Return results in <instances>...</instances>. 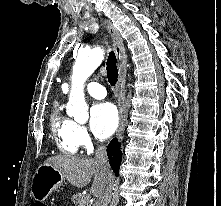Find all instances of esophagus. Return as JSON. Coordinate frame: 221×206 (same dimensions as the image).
I'll use <instances>...</instances> for the list:
<instances>
[{
	"instance_id": "34e87169",
	"label": "esophagus",
	"mask_w": 221,
	"mask_h": 206,
	"mask_svg": "<svg viewBox=\"0 0 221 206\" xmlns=\"http://www.w3.org/2000/svg\"><path fill=\"white\" fill-rule=\"evenodd\" d=\"M103 23L107 28L113 43L114 52L118 62L119 79L117 83V95L120 106V126L117 132V138L122 139L127 123V110L125 108V82H126V58L123 51L122 39L119 32L113 24L104 19Z\"/></svg>"
}]
</instances>
